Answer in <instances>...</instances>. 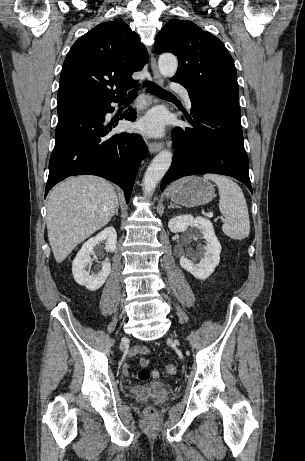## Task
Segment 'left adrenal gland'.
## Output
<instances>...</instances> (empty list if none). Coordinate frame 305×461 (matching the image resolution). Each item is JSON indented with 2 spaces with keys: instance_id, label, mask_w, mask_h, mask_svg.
I'll list each match as a JSON object with an SVG mask.
<instances>
[{
  "instance_id": "1",
  "label": "left adrenal gland",
  "mask_w": 305,
  "mask_h": 461,
  "mask_svg": "<svg viewBox=\"0 0 305 461\" xmlns=\"http://www.w3.org/2000/svg\"><path fill=\"white\" fill-rule=\"evenodd\" d=\"M168 208H169V209H170V208H173V209H174L175 206L172 204V202H170V205L168 206Z\"/></svg>"
}]
</instances>
